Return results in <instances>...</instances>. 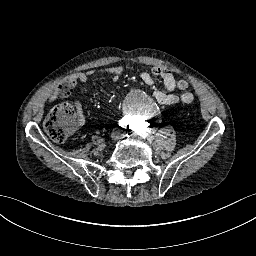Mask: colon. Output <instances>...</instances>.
Wrapping results in <instances>:
<instances>
[{
	"mask_svg": "<svg viewBox=\"0 0 256 256\" xmlns=\"http://www.w3.org/2000/svg\"><path fill=\"white\" fill-rule=\"evenodd\" d=\"M188 82L185 78H179L178 88L185 90ZM72 82H65L58 86L60 96H67L73 92ZM44 129L47 135L56 142L67 140L71 132L75 129L73 118V106L70 103H61L54 107L49 116L44 121Z\"/></svg>",
	"mask_w": 256,
	"mask_h": 256,
	"instance_id": "colon-1",
	"label": "colon"
}]
</instances>
